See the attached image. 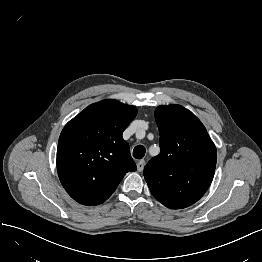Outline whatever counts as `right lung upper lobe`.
<instances>
[{
  "label": "right lung upper lobe",
  "instance_id": "right-lung-upper-lobe-1",
  "mask_svg": "<svg viewBox=\"0 0 262 262\" xmlns=\"http://www.w3.org/2000/svg\"><path fill=\"white\" fill-rule=\"evenodd\" d=\"M136 114V107L106 99L89 105L65 125L58 141L57 171L75 201L101 204L127 172L136 171L122 137Z\"/></svg>",
  "mask_w": 262,
  "mask_h": 262
}]
</instances>
